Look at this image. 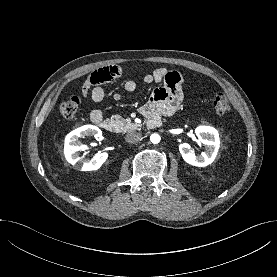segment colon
Listing matches in <instances>:
<instances>
[{"label":"colon","mask_w":277,"mask_h":277,"mask_svg":"<svg viewBox=\"0 0 277 277\" xmlns=\"http://www.w3.org/2000/svg\"><path fill=\"white\" fill-rule=\"evenodd\" d=\"M214 111L218 115L226 114L230 109V104L227 97L223 93L217 94L212 101ZM80 99L78 96H71L68 100L64 101L60 106V112L63 117L72 119L79 110Z\"/></svg>","instance_id":"obj_1"}]
</instances>
